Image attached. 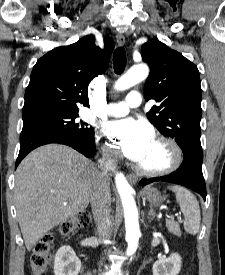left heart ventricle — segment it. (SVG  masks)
<instances>
[{
	"mask_svg": "<svg viewBox=\"0 0 225 275\" xmlns=\"http://www.w3.org/2000/svg\"><path fill=\"white\" fill-rule=\"evenodd\" d=\"M168 162L169 151L167 147L154 139L138 164L146 169H160L166 166Z\"/></svg>",
	"mask_w": 225,
	"mask_h": 275,
	"instance_id": "left-heart-ventricle-1",
	"label": "left heart ventricle"
}]
</instances>
